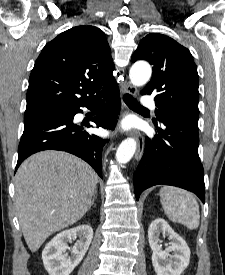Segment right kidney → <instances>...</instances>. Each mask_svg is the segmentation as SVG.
<instances>
[{"instance_id":"obj_1","label":"right kidney","mask_w":225,"mask_h":275,"mask_svg":"<svg viewBox=\"0 0 225 275\" xmlns=\"http://www.w3.org/2000/svg\"><path fill=\"white\" fill-rule=\"evenodd\" d=\"M68 256V242L77 239ZM93 238V229L81 225L57 234L44 248L42 260L49 275H70L81 262Z\"/></svg>"}]
</instances>
